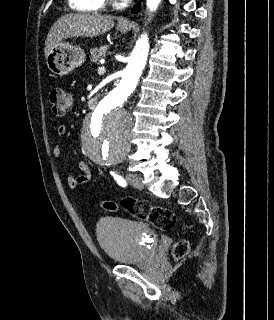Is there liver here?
<instances>
[{"mask_svg": "<svg viewBox=\"0 0 274 320\" xmlns=\"http://www.w3.org/2000/svg\"><path fill=\"white\" fill-rule=\"evenodd\" d=\"M114 26V20L110 16L101 14H65L55 22L45 42V58L55 46L62 44L67 38H93L106 34Z\"/></svg>", "mask_w": 274, "mask_h": 320, "instance_id": "6515ba94", "label": "liver"}]
</instances>
